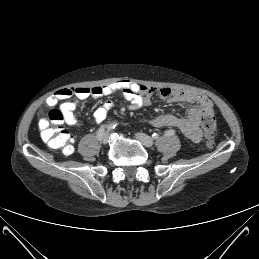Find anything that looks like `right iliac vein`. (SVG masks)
<instances>
[{
  "label": "right iliac vein",
  "mask_w": 259,
  "mask_h": 259,
  "mask_svg": "<svg viewBox=\"0 0 259 259\" xmlns=\"http://www.w3.org/2000/svg\"><path fill=\"white\" fill-rule=\"evenodd\" d=\"M109 138H110L109 132H105V133L103 134V136H102V138H101L100 141H101L103 144H106V143H108Z\"/></svg>",
  "instance_id": "63e3f726"
}]
</instances>
